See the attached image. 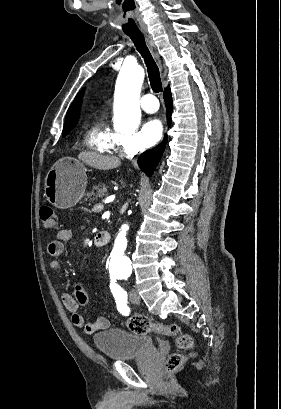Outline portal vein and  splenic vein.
Instances as JSON below:
<instances>
[{
    "instance_id": "18ae733b",
    "label": "portal vein and splenic vein",
    "mask_w": 281,
    "mask_h": 409,
    "mask_svg": "<svg viewBox=\"0 0 281 409\" xmlns=\"http://www.w3.org/2000/svg\"><path fill=\"white\" fill-rule=\"evenodd\" d=\"M101 207H102V206H101L100 204L95 203V204L91 207V212H92V213H97Z\"/></svg>"
}]
</instances>
